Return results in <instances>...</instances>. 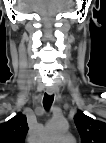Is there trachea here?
<instances>
[{"mask_svg": "<svg viewBox=\"0 0 106 143\" xmlns=\"http://www.w3.org/2000/svg\"><path fill=\"white\" fill-rule=\"evenodd\" d=\"M54 100V95L45 94L43 98V106L46 110H49Z\"/></svg>", "mask_w": 106, "mask_h": 143, "instance_id": "obj_1", "label": "trachea"}]
</instances>
